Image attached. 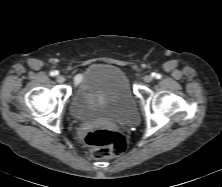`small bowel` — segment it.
Here are the masks:
<instances>
[{"label":"small bowel","instance_id":"1","mask_svg":"<svg viewBox=\"0 0 222 187\" xmlns=\"http://www.w3.org/2000/svg\"><path fill=\"white\" fill-rule=\"evenodd\" d=\"M80 81H81V76H80V75H77V76L75 77V82H76V84H78Z\"/></svg>","mask_w":222,"mask_h":187}]
</instances>
